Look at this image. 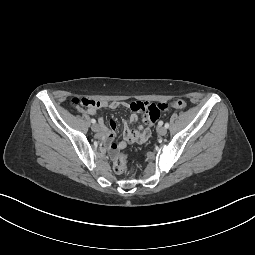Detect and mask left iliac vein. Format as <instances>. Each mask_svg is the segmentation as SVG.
<instances>
[{
	"instance_id": "obj_1",
	"label": "left iliac vein",
	"mask_w": 255,
	"mask_h": 255,
	"mask_svg": "<svg viewBox=\"0 0 255 255\" xmlns=\"http://www.w3.org/2000/svg\"><path fill=\"white\" fill-rule=\"evenodd\" d=\"M166 133H167V128H165V127H160V128L158 129V134H159V135L164 136V135H166Z\"/></svg>"
}]
</instances>
